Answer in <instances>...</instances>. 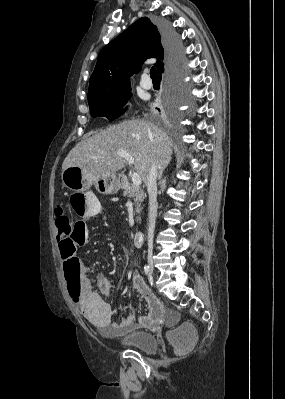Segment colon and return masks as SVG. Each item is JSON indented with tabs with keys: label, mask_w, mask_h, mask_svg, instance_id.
Segmentation results:
<instances>
[{
	"label": "colon",
	"mask_w": 285,
	"mask_h": 399,
	"mask_svg": "<svg viewBox=\"0 0 285 399\" xmlns=\"http://www.w3.org/2000/svg\"><path fill=\"white\" fill-rule=\"evenodd\" d=\"M87 198V193L71 196L70 204L73 210L78 213L82 211ZM55 224L63 234L59 245L65 278L68 280V291L72 296H77L79 287L78 278L71 271L70 266L76 258L77 248L88 240L89 233L81 222L75 221L74 217L64 210H59L56 213ZM169 338L175 352L183 354L192 349L196 341V333L192 326L185 325L171 331Z\"/></svg>",
	"instance_id": "5ec220e1"
}]
</instances>
